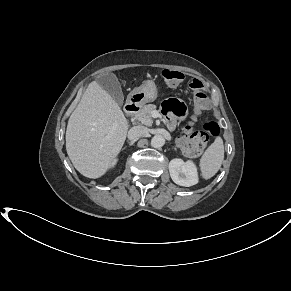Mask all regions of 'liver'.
<instances>
[{
  "label": "liver",
  "instance_id": "liver-1",
  "mask_svg": "<svg viewBox=\"0 0 291 291\" xmlns=\"http://www.w3.org/2000/svg\"><path fill=\"white\" fill-rule=\"evenodd\" d=\"M128 128L111 95L91 82L66 129V150L76 170L92 179L103 176L120 153Z\"/></svg>",
  "mask_w": 291,
  "mask_h": 291
}]
</instances>
